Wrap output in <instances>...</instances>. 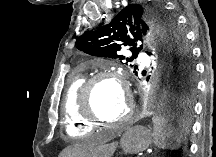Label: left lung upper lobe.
Listing matches in <instances>:
<instances>
[{
  "instance_id": "1",
  "label": "left lung upper lobe",
  "mask_w": 216,
  "mask_h": 157,
  "mask_svg": "<svg viewBox=\"0 0 216 157\" xmlns=\"http://www.w3.org/2000/svg\"><path fill=\"white\" fill-rule=\"evenodd\" d=\"M144 42L150 46L146 53L157 55L166 80L171 77L178 88L195 82L194 63L185 36L175 19L159 5H127L109 24L81 39L77 48L93 56L132 61ZM123 46L129 47L131 58L118 55Z\"/></svg>"
}]
</instances>
